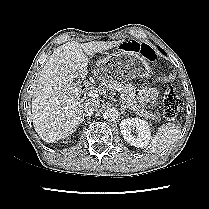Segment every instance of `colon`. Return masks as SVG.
<instances>
[{
	"instance_id": "obj_1",
	"label": "colon",
	"mask_w": 209,
	"mask_h": 209,
	"mask_svg": "<svg viewBox=\"0 0 209 209\" xmlns=\"http://www.w3.org/2000/svg\"><path fill=\"white\" fill-rule=\"evenodd\" d=\"M123 49L136 52L148 61H155L156 53L154 48L147 43L128 41L123 44ZM182 107V100L172 86H168L163 96V115L167 120H173Z\"/></svg>"
}]
</instances>
